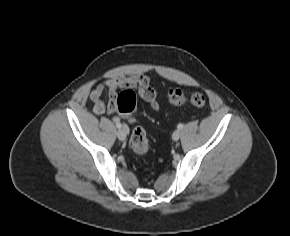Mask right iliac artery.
<instances>
[{"label": "right iliac artery", "instance_id": "82829eb1", "mask_svg": "<svg viewBox=\"0 0 290 236\" xmlns=\"http://www.w3.org/2000/svg\"><path fill=\"white\" fill-rule=\"evenodd\" d=\"M116 126L118 127V128H121V123L120 122H116Z\"/></svg>", "mask_w": 290, "mask_h": 236}]
</instances>
